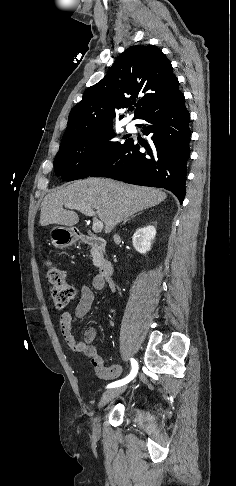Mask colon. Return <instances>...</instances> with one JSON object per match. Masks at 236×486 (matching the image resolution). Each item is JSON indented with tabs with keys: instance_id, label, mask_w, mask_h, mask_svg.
Here are the masks:
<instances>
[{
	"instance_id": "1",
	"label": "colon",
	"mask_w": 236,
	"mask_h": 486,
	"mask_svg": "<svg viewBox=\"0 0 236 486\" xmlns=\"http://www.w3.org/2000/svg\"><path fill=\"white\" fill-rule=\"evenodd\" d=\"M47 267L46 279L51 286V296L57 309L66 308L74 297V288L65 280V272L52 265L51 262L45 263Z\"/></svg>"
}]
</instances>
